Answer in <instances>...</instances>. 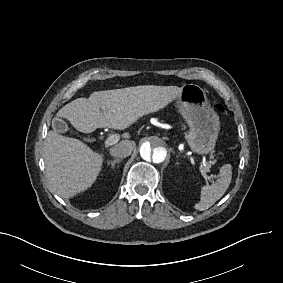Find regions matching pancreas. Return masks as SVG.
Returning <instances> with one entry per match:
<instances>
[{"label": "pancreas", "mask_w": 283, "mask_h": 283, "mask_svg": "<svg viewBox=\"0 0 283 283\" xmlns=\"http://www.w3.org/2000/svg\"><path fill=\"white\" fill-rule=\"evenodd\" d=\"M216 163V160H213V161H210L206 167H201L200 168V171L202 174H205L206 172H209L210 171V168H211V165L212 164H215Z\"/></svg>", "instance_id": "pancreas-1"}]
</instances>
